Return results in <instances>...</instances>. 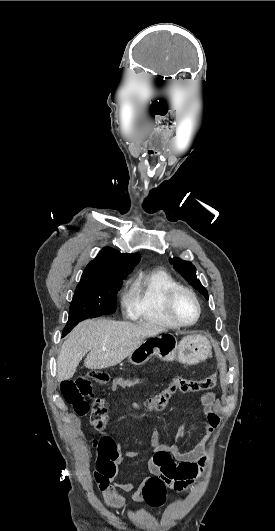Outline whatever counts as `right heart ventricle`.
I'll list each match as a JSON object with an SVG mask.
<instances>
[{
	"instance_id": "1",
	"label": "right heart ventricle",
	"mask_w": 275,
	"mask_h": 531,
	"mask_svg": "<svg viewBox=\"0 0 275 531\" xmlns=\"http://www.w3.org/2000/svg\"><path fill=\"white\" fill-rule=\"evenodd\" d=\"M177 285L172 276L165 272L140 275L134 284L135 307L132 315L140 322L169 329L178 328L165 313L164 297L167 291Z\"/></svg>"
}]
</instances>
